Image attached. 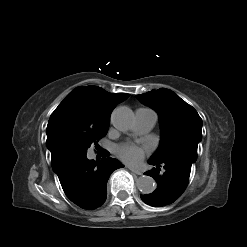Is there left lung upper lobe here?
Returning a JSON list of instances; mask_svg holds the SVG:
<instances>
[{
	"mask_svg": "<svg viewBox=\"0 0 247 247\" xmlns=\"http://www.w3.org/2000/svg\"><path fill=\"white\" fill-rule=\"evenodd\" d=\"M136 98L153 108L160 118L161 142L151 159L157 162L181 159L194 163L202 139V119L197 111L165 88L136 95Z\"/></svg>",
	"mask_w": 247,
	"mask_h": 247,
	"instance_id": "left-lung-upper-lobe-1",
	"label": "left lung upper lobe"
}]
</instances>
